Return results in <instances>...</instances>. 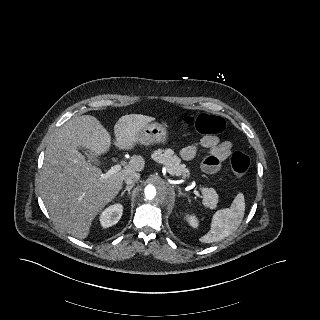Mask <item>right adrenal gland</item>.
I'll return each instance as SVG.
<instances>
[{
  "label": "right adrenal gland",
  "mask_w": 320,
  "mask_h": 320,
  "mask_svg": "<svg viewBox=\"0 0 320 320\" xmlns=\"http://www.w3.org/2000/svg\"><path fill=\"white\" fill-rule=\"evenodd\" d=\"M134 187V185L132 184V185H129V186H126V188L121 192V194H120V197H122L124 194H125V192H128V194L130 195V191H131V189Z\"/></svg>",
  "instance_id": "obj_1"
}]
</instances>
